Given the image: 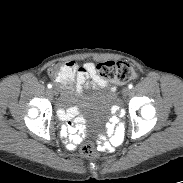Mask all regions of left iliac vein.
<instances>
[{"label": "left iliac vein", "mask_w": 183, "mask_h": 183, "mask_svg": "<svg viewBox=\"0 0 183 183\" xmlns=\"http://www.w3.org/2000/svg\"><path fill=\"white\" fill-rule=\"evenodd\" d=\"M122 94H123V96H128L129 94H130V89L129 88H127V87H125L123 90H122Z\"/></svg>", "instance_id": "4c4485c4"}]
</instances>
